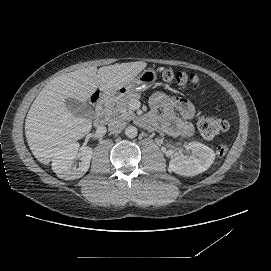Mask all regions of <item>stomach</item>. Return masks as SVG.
I'll use <instances>...</instances> for the list:
<instances>
[{"label":"stomach","mask_w":271,"mask_h":271,"mask_svg":"<svg viewBox=\"0 0 271 271\" xmlns=\"http://www.w3.org/2000/svg\"><path fill=\"white\" fill-rule=\"evenodd\" d=\"M155 81V72L151 70H144L136 78L130 82L123 84L110 91V95L115 100H120L129 93H137L147 90Z\"/></svg>","instance_id":"stomach-1"}]
</instances>
